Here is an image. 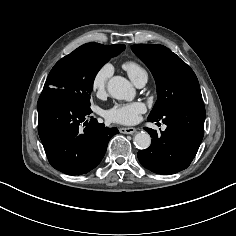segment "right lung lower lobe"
<instances>
[{
    "instance_id": "1",
    "label": "right lung lower lobe",
    "mask_w": 236,
    "mask_h": 236,
    "mask_svg": "<svg viewBox=\"0 0 236 236\" xmlns=\"http://www.w3.org/2000/svg\"><path fill=\"white\" fill-rule=\"evenodd\" d=\"M37 109L38 133L47 158L52 167L68 175L94 169L105 155L110 138L119 133L93 117L88 121L90 107L60 89L43 90Z\"/></svg>"
}]
</instances>
